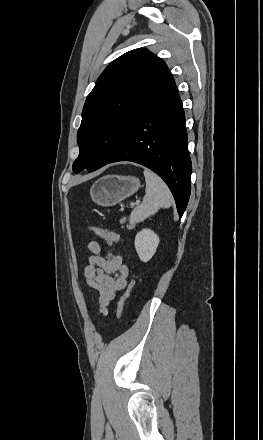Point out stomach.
Masks as SVG:
<instances>
[{
    "label": "stomach",
    "mask_w": 263,
    "mask_h": 440,
    "mask_svg": "<svg viewBox=\"0 0 263 440\" xmlns=\"http://www.w3.org/2000/svg\"><path fill=\"white\" fill-rule=\"evenodd\" d=\"M140 186V181L136 177L107 175L92 185L90 196L98 205L113 206L134 194Z\"/></svg>",
    "instance_id": "0dacf381"
}]
</instances>
